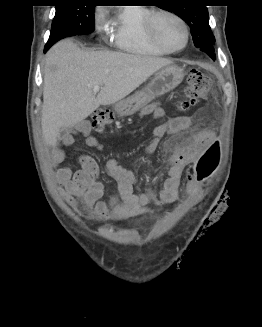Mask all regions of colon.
Returning <instances> with one entry per match:
<instances>
[{
    "instance_id": "5ec220e1",
    "label": "colon",
    "mask_w": 262,
    "mask_h": 327,
    "mask_svg": "<svg viewBox=\"0 0 262 327\" xmlns=\"http://www.w3.org/2000/svg\"><path fill=\"white\" fill-rule=\"evenodd\" d=\"M210 79L198 70H193L187 78L182 109H188L205 99L210 91ZM114 115L110 110H97L92 117L93 129L102 132L113 123ZM220 148L218 143H213L194 165V178L197 182L207 179L218 165Z\"/></svg>"
}]
</instances>
